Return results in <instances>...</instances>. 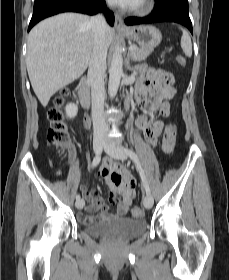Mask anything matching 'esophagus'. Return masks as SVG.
<instances>
[{"label": "esophagus", "instance_id": "esophagus-1", "mask_svg": "<svg viewBox=\"0 0 229 280\" xmlns=\"http://www.w3.org/2000/svg\"><path fill=\"white\" fill-rule=\"evenodd\" d=\"M115 29L116 30H128V28L124 25L122 17L116 13L115 14Z\"/></svg>", "mask_w": 229, "mask_h": 280}]
</instances>
